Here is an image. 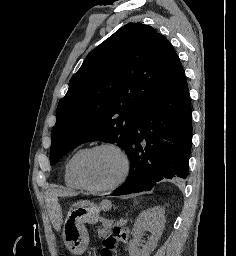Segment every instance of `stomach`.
Segmentation results:
<instances>
[{"label":"stomach","mask_w":236,"mask_h":256,"mask_svg":"<svg viewBox=\"0 0 236 256\" xmlns=\"http://www.w3.org/2000/svg\"><path fill=\"white\" fill-rule=\"evenodd\" d=\"M111 203L104 200L100 205L88 200L74 203L69 211L64 227L67 249L75 255L82 254L88 246L89 236L85 223L95 224L101 210H109Z\"/></svg>","instance_id":"1"}]
</instances>
